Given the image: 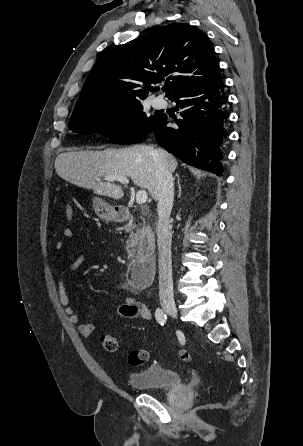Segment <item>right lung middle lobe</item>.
I'll return each mask as SVG.
<instances>
[{"label":"right lung middle lobe","mask_w":303,"mask_h":446,"mask_svg":"<svg viewBox=\"0 0 303 446\" xmlns=\"http://www.w3.org/2000/svg\"><path fill=\"white\" fill-rule=\"evenodd\" d=\"M163 115L148 116L140 101L128 105L103 106L71 117L75 132H102L119 144H132L151 133Z\"/></svg>","instance_id":"dd1d6c3e"}]
</instances>
